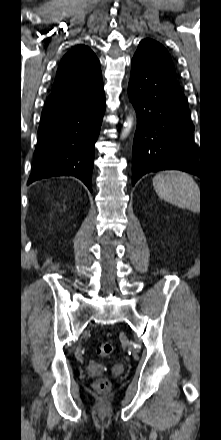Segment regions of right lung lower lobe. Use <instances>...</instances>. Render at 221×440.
<instances>
[{
	"label": "right lung lower lobe",
	"mask_w": 221,
	"mask_h": 440,
	"mask_svg": "<svg viewBox=\"0 0 221 440\" xmlns=\"http://www.w3.org/2000/svg\"><path fill=\"white\" fill-rule=\"evenodd\" d=\"M104 111L102 80L89 87L51 92L42 111L28 184L71 175L92 191L95 143Z\"/></svg>",
	"instance_id": "98d812e1"
}]
</instances>
